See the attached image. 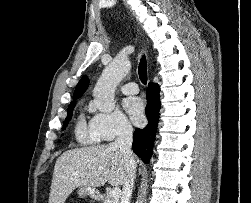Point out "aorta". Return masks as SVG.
<instances>
[{
    "label": "aorta",
    "mask_w": 251,
    "mask_h": 203,
    "mask_svg": "<svg viewBox=\"0 0 251 203\" xmlns=\"http://www.w3.org/2000/svg\"><path fill=\"white\" fill-rule=\"evenodd\" d=\"M131 69V63L125 58H116L105 67L94 88L97 108L110 113L115 107V90Z\"/></svg>",
    "instance_id": "obj_1"
}]
</instances>
